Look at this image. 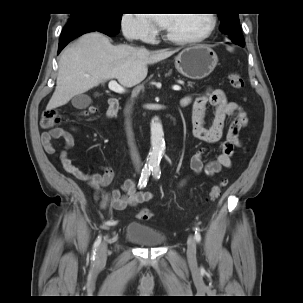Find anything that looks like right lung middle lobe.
I'll return each mask as SVG.
<instances>
[{"label": "right lung middle lobe", "instance_id": "right-lung-middle-lobe-1", "mask_svg": "<svg viewBox=\"0 0 303 303\" xmlns=\"http://www.w3.org/2000/svg\"><path fill=\"white\" fill-rule=\"evenodd\" d=\"M122 14L120 13H105V12H83L71 14V19L68 23L81 19H97L109 22L121 23Z\"/></svg>", "mask_w": 303, "mask_h": 303}]
</instances>
